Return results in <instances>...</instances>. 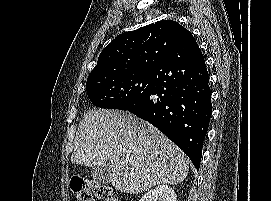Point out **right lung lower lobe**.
Here are the masks:
<instances>
[{"instance_id": "98d812e1", "label": "right lung lower lobe", "mask_w": 271, "mask_h": 201, "mask_svg": "<svg viewBox=\"0 0 271 201\" xmlns=\"http://www.w3.org/2000/svg\"><path fill=\"white\" fill-rule=\"evenodd\" d=\"M153 76L151 87L126 101L120 110L157 127L198 170L212 104L204 56L191 33L157 66Z\"/></svg>"}]
</instances>
